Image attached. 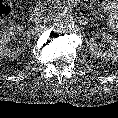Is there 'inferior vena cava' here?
I'll return each instance as SVG.
<instances>
[{
  "mask_svg": "<svg viewBox=\"0 0 118 118\" xmlns=\"http://www.w3.org/2000/svg\"><path fill=\"white\" fill-rule=\"evenodd\" d=\"M45 20H46V17H40L39 19H37V20L35 21V23H36L37 25H41V24H43V23L45 22Z\"/></svg>",
  "mask_w": 118,
  "mask_h": 118,
  "instance_id": "1",
  "label": "inferior vena cava"
}]
</instances>
